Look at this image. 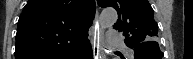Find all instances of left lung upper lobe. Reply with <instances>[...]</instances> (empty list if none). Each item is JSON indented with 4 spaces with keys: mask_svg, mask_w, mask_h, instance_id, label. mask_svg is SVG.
<instances>
[{
    "mask_svg": "<svg viewBox=\"0 0 193 59\" xmlns=\"http://www.w3.org/2000/svg\"><path fill=\"white\" fill-rule=\"evenodd\" d=\"M101 7H113L118 13L115 29L123 31L125 43L134 48L141 43L147 46L156 42L158 25L153 19V9L147 0H97Z\"/></svg>",
    "mask_w": 193,
    "mask_h": 59,
    "instance_id": "left-lung-upper-lobe-1",
    "label": "left lung upper lobe"
}]
</instances>
